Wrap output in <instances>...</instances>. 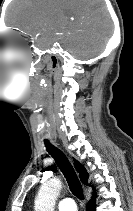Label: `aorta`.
Returning a JSON list of instances; mask_svg holds the SVG:
<instances>
[{
    "instance_id": "1",
    "label": "aorta",
    "mask_w": 133,
    "mask_h": 211,
    "mask_svg": "<svg viewBox=\"0 0 133 211\" xmlns=\"http://www.w3.org/2000/svg\"><path fill=\"white\" fill-rule=\"evenodd\" d=\"M61 187V181L56 178L43 183L35 199V211H54Z\"/></svg>"
}]
</instances>
